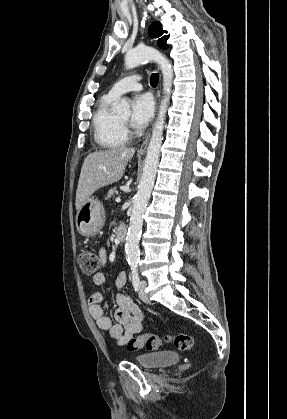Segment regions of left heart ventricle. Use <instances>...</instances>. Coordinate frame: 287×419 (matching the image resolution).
Here are the masks:
<instances>
[{
  "mask_svg": "<svg viewBox=\"0 0 287 419\" xmlns=\"http://www.w3.org/2000/svg\"><path fill=\"white\" fill-rule=\"evenodd\" d=\"M119 119L123 122H127L128 121V115H121V116H119Z\"/></svg>",
  "mask_w": 287,
  "mask_h": 419,
  "instance_id": "1",
  "label": "left heart ventricle"
}]
</instances>
